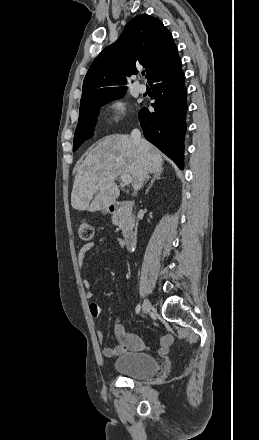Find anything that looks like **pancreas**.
I'll list each match as a JSON object with an SVG mask.
<instances>
[{
	"instance_id": "1",
	"label": "pancreas",
	"mask_w": 259,
	"mask_h": 440,
	"mask_svg": "<svg viewBox=\"0 0 259 440\" xmlns=\"http://www.w3.org/2000/svg\"><path fill=\"white\" fill-rule=\"evenodd\" d=\"M135 218L132 213L126 208L123 207L113 218L114 225L118 226L123 235H126L130 230L134 227Z\"/></svg>"
}]
</instances>
